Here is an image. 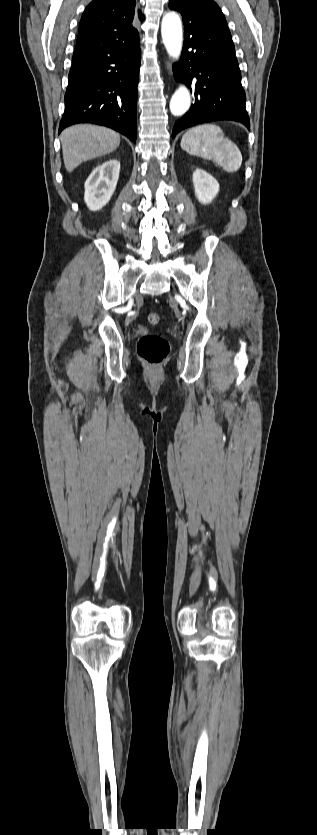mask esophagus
<instances>
[{
	"instance_id": "obj_1",
	"label": "esophagus",
	"mask_w": 317,
	"mask_h": 835,
	"mask_svg": "<svg viewBox=\"0 0 317 835\" xmlns=\"http://www.w3.org/2000/svg\"><path fill=\"white\" fill-rule=\"evenodd\" d=\"M167 67H169V63H167Z\"/></svg>"
}]
</instances>
